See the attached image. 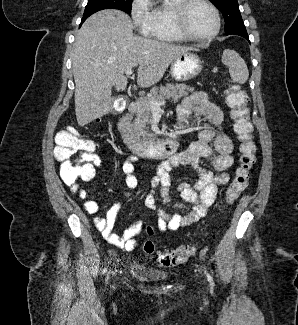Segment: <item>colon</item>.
I'll use <instances>...</instances> for the list:
<instances>
[{
	"label": "colon",
	"instance_id": "1",
	"mask_svg": "<svg viewBox=\"0 0 298 325\" xmlns=\"http://www.w3.org/2000/svg\"><path fill=\"white\" fill-rule=\"evenodd\" d=\"M226 103L234 122V132L239 140V165L235 170L225 195L228 204L234 203L248 185L251 170L256 161V145L253 137V125L250 120L248 96L237 86H230ZM55 156L61 163L60 175L69 186L79 181H88L94 177L98 157L93 142L78 133L74 128H67L56 137ZM148 235H153L152 227L147 228ZM143 249L147 254L155 255L157 262L164 267H172L187 262L194 253L190 246H179L169 251H156L151 240H146Z\"/></svg>",
	"mask_w": 298,
	"mask_h": 325
}]
</instances>
